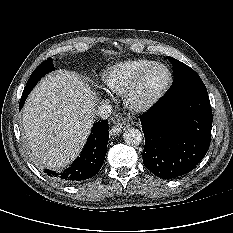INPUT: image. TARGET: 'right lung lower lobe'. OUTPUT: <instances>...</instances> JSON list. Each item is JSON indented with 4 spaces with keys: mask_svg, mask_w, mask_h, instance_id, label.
Wrapping results in <instances>:
<instances>
[{
    "mask_svg": "<svg viewBox=\"0 0 233 233\" xmlns=\"http://www.w3.org/2000/svg\"><path fill=\"white\" fill-rule=\"evenodd\" d=\"M31 90L24 89L19 109L23 107ZM108 130V120L95 123L83 151L74 163L62 172L45 170V173L63 183H75L93 177L102 167L106 156L109 139Z\"/></svg>",
    "mask_w": 233,
    "mask_h": 233,
    "instance_id": "1",
    "label": "right lung lower lobe"
}]
</instances>
